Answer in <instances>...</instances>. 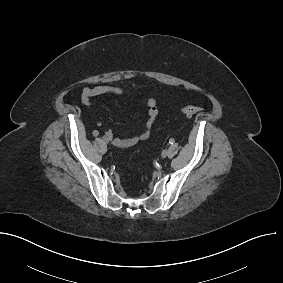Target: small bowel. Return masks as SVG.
<instances>
[{"mask_svg":"<svg viewBox=\"0 0 283 283\" xmlns=\"http://www.w3.org/2000/svg\"><path fill=\"white\" fill-rule=\"evenodd\" d=\"M124 89L119 86L114 85H99L95 87H84L81 93L82 103L89 106L95 97L102 95H115L121 96L124 94ZM147 108V120L142 131L134 136L127 138L114 137L112 131H107V137L112 141V144L118 148H129L140 141H144L149 138L151 130L158 118L159 110L157 107V102L154 98H149L146 101Z\"/></svg>","mask_w":283,"mask_h":283,"instance_id":"small-bowel-1","label":"small bowel"}]
</instances>
